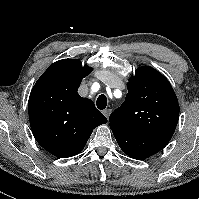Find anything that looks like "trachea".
Here are the masks:
<instances>
[{
	"mask_svg": "<svg viewBox=\"0 0 199 199\" xmlns=\"http://www.w3.org/2000/svg\"><path fill=\"white\" fill-rule=\"evenodd\" d=\"M96 105L98 107V109L100 110H104L107 106V98L105 95H100L98 98H97V101H96Z\"/></svg>",
	"mask_w": 199,
	"mask_h": 199,
	"instance_id": "trachea-1",
	"label": "trachea"
}]
</instances>
